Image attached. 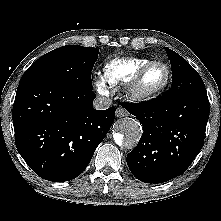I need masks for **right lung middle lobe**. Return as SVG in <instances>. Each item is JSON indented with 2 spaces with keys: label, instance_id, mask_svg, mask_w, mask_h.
Instances as JSON below:
<instances>
[{
  "label": "right lung middle lobe",
  "instance_id": "right-lung-middle-lobe-1",
  "mask_svg": "<svg viewBox=\"0 0 221 221\" xmlns=\"http://www.w3.org/2000/svg\"><path fill=\"white\" fill-rule=\"evenodd\" d=\"M99 50L67 45L43 55L23 74L19 84L40 82L92 90L91 71Z\"/></svg>",
  "mask_w": 221,
  "mask_h": 221
}]
</instances>
